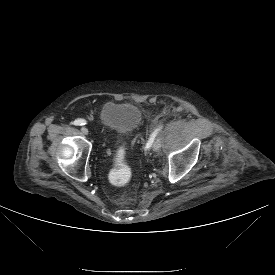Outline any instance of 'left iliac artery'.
Returning <instances> with one entry per match:
<instances>
[{"instance_id": "obj_1", "label": "left iliac artery", "mask_w": 275, "mask_h": 275, "mask_svg": "<svg viewBox=\"0 0 275 275\" xmlns=\"http://www.w3.org/2000/svg\"><path fill=\"white\" fill-rule=\"evenodd\" d=\"M161 130H162V126L156 128V129L152 132V134L150 135V138H149V141H148V143H147L146 148H148V147L152 144V142L154 141L155 137L157 136V134H158Z\"/></svg>"}]
</instances>
